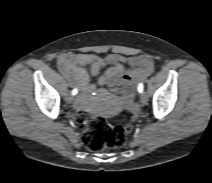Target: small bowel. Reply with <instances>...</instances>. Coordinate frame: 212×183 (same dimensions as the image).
<instances>
[{"instance_id": "c3829d8e", "label": "small bowel", "mask_w": 212, "mask_h": 183, "mask_svg": "<svg viewBox=\"0 0 212 183\" xmlns=\"http://www.w3.org/2000/svg\"><path fill=\"white\" fill-rule=\"evenodd\" d=\"M57 62L59 70L70 84L77 85L81 90L75 102L77 108L88 105L95 91L91 77L102 71L99 85L130 89L154 70L153 60L147 55L125 57L112 53L102 57L92 53H67L59 56ZM86 67H89V71Z\"/></svg>"}]
</instances>
